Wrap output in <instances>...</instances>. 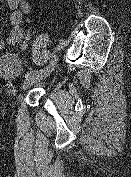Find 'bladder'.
Wrapping results in <instances>:
<instances>
[{
	"label": "bladder",
	"mask_w": 131,
	"mask_h": 177,
	"mask_svg": "<svg viewBox=\"0 0 131 177\" xmlns=\"http://www.w3.org/2000/svg\"><path fill=\"white\" fill-rule=\"evenodd\" d=\"M22 71V66L14 54L5 53L0 58V72L6 75L9 79H17L21 75Z\"/></svg>",
	"instance_id": "1"
}]
</instances>
